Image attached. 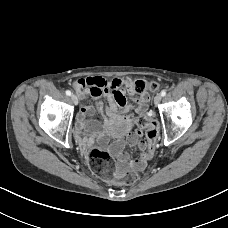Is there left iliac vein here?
Returning <instances> with one entry per match:
<instances>
[{"mask_svg":"<svg viewBox=\"0 0 228 228\" xmlns=\"http://www.w3.org/2000/svg\"><path fill=\"white\" fill-rule=\"evenodd\" d=\"M161 99H162L161 94H157V95L154 97V103H155V104H159L160 101H161Z\"/></svg>","mask_w":228,"mask_h":228,"instance_id":"4c4485c4","label":"left iliac vein"}]
</instances>
